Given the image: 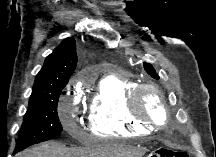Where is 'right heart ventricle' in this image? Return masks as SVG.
<instances>
[{
	"mask_svg": "<svg viewBox=\"0 0 216 157\" xmlns=\"http://www.w3.org/2000/svg\"><path fill=\"white\" fill-rule=\"evenodd\" d=\"M137 84L121 73H109L98 83L90 102V131L99 137H129L149 132L153 126L136 119L128 107Z\"/></svg>",
	"mask_w": 216,
	"mask_h": 157,
	"instance_id": "right-heart-ventricle-1",
	"label": "right heart ventricle"
}]
</instances>
